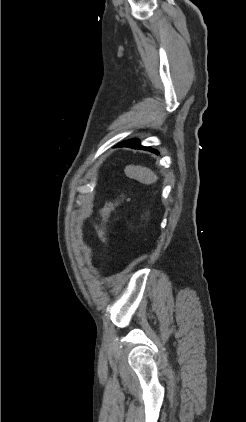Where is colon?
Listing matches in <instances>:
<instances>
[{
	"mask_svg": "<svg viewBox=\"0 0 246 422\" xmlns=\"http://www.w3.org/2000/svg\"><path fill=\"white\" fill-rule=\"evenodd\" d=\"M124 194L114 197L113 199L108 200L98 213V219L95 223V230L97 237L104 242L107 246H111L109 231H108V222L111 214L119 207V205L124 200Z\"/></svg>",
	"mask_w": 246,
	"mask_h": 422,
	"instance_id": "5ec220e1",
	"label": "colon"
}]
</instances>
